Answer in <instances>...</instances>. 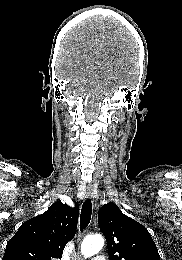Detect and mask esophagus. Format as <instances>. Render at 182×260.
I'll return each instance as SVG.
<instances>
[{
  "label": "esophagus",
  "mask_w": 182,
  "mask_h": 260,
  "mask_svg": "<svg viewBox=\"0 0 182 260\" xmlns=\"http://www.w3.org/2000/svg\"><path fill=\"white\" fill-rule=\"evenodd\" d=\"M85 196L88 198V199H92L93 197V191L91 189H86L85 191Z\"/></svg>",
  "instance_id": "obj_1"
}]
</instances>
